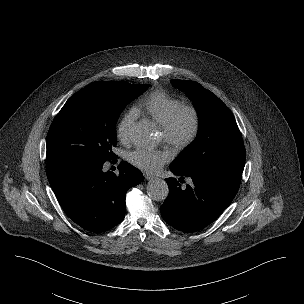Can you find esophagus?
Returning a JSON list of instances; mask_svg holds the SVG:
<instances>
[{"mask_svg":"<svg viewBox=\"0 0 304 304\" xmlns=\"http://www.w3.org/2000/svg\"><path fill=\"white\" fill-rule=\"evenodd\" d=\"M143 175H144V178H145L146 180H152V179L155 178V176H153V175H151V174H149V173H144Z\"/></svg>","mask_w":304,"mask_h":304,"instance_id":"1","label":"esophagus"}]
</instances>
